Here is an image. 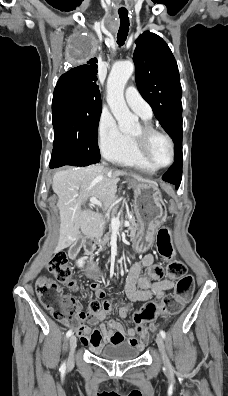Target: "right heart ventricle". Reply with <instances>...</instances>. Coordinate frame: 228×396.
Masks as SVG:
<instances>
[{
	"label": "right heart ventricle",
	"instance_id": "1",
	"mask_svg": "<svg viewBox=\"0 0 228 396\" xmlns=\"http://www.w3.org/2000/svg\"><path fill=\"white\" fill-rule=\"evenodd\" d=\"M144 119L148 120L149 118H144ZM129 140H130V142H129L128 149L115 162H117L118 164H121L123 166L132 167V168L138 169V170L146 172V173L154 172L153 169L149 168L142 162V160L139 158V156L136 152V149H135L132 139L129 138Z\"/></svg>",
	"mask_w": 228,
	"mask_h": 396
}]
</instances>
